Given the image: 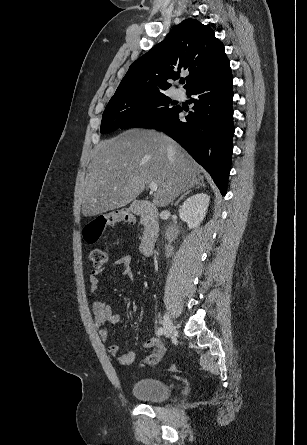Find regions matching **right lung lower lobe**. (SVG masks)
<instances>
[{
	"label": "right lung lower lobe",
	"mask_w": 307,
	"mask_h": 445,
	"mask_svg": "<svg viewBox=\"0 0 307 445\" xmlns=\"http://www.w3.org/2000/svg\"><path fill=\"white\" fill-rule=\"evenodd\" d=\"M233 77L229 62L214 74L189 88L193 110L179 119L178 107L149 128L160 130L176 140L212 176L222 195L226 194L232 155Z\"/></svg>",
	"instance_id": "98d812e1"
}]
</instances>
